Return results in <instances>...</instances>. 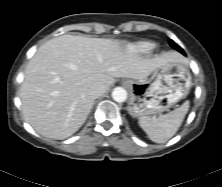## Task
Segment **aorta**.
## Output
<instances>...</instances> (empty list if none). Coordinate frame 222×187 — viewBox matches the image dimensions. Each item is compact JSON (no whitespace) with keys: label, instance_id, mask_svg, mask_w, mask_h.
I'll list each match as a JSON object with an SVG mask.
<instances>
[{"label":"aorta","instance_id":"762f6f07","mask_svg":"<svg viewBox=\"0 0 222 187\" xmlns=\"http://www.w3.org/2000/svg\"><path fill=\"white\" fill-rule=\"evenodd\" d=\"M112 98L116 102H124L127 99V92L122 87H116L112 91Z\"/></svg>","mask_w":222,"mask_h":187}]
</instances>
